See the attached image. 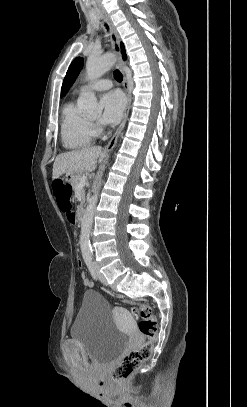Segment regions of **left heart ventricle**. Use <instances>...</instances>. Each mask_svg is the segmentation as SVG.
<instances>
[{"instance_id":"1","label":"left heart ventricle","mask_w":247,"mask_h":407,"mask_svg":"<svg viewBox=\"0 0 247 407\" xmlns=\"http://www.w3.org/2000/svg\"><path fill=\"white\" fill-rule=\"evenodd\" d=\"M89 119L94 121V120H96V117H90Z\"/></svg>"}]
</instances>
